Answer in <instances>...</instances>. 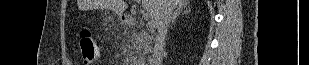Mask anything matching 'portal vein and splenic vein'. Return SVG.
Instances as JSON below:
<instances>
[{"label": "portal vein and splenic vein", "instance_id": "portal-vein-and-splenic-vein-1", "mask_svg": "<svg viewBox=\"0 0 309 65\" xmlns=\"http://www.w3.org/2000/svg\"><path fill=\"white\" fill-rule=\"evenodd\" d=\"M142 18H143L144 20H148L149 14L144 12V13L142 14Z\"/></svg>", "mask_w": 309, "mask_h": 65}]
</instances>
